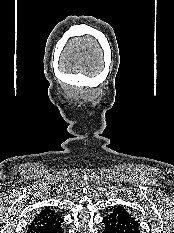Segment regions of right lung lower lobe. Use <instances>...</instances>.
I'll list each match as a JSON object with an SVG mask.
<instances>
[{"label":"right lung lower lobe","instance_id":"obj_1","mask_svg":"<svg viewBox=\"0 0 174 233\" xmlns=\"http://www.w3.org/2000/svg\"><path fill=\"white\" fill-rule=\"evenodd\" d=\"M39 233H64V230H63L62 223H61V224H59L55 227H52L50 229L40 231Z\"/></svg>","mask_w":174,"mask_h":233}]
</instances>
